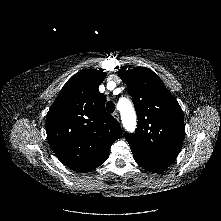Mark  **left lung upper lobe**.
<instances>
[{
	"label": "left lung upper lobe",
	"instance_id": "obj_1",
	"mask_svg": "<svg viewBox=\"0 0 221 221\" xmlns=\"http://www.w3.org/2000/svg\"><path fill=\"white\" fill-rule=\"evenodd\" d=\"M128 86L137 112V129L125 134L131 150L172 163L179 154L185 125L180 105L161 79L149 68L118 71Z\"/></svg>",
	"mask_w": 221,
	"mask_h": 221
}]
</instances>
